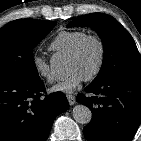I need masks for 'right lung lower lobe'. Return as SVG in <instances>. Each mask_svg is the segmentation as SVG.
<instances>
[{"instance_id":"right-lung-lower-lobe-1","label":"right lung lower lobe","mask_w":141,"mask_h":141,"mask_svg":"<svg viewBox=\"0 0 141 141\" xmlns=\"http://www.w3.org/2000/svg\"><path fill=\"white\" fill-rule=\"evenodd\" d=\"M44 91L39 77L0 79V141H46L69 103L62 92L41 97Z\"/></svg>"}]
</instances>
